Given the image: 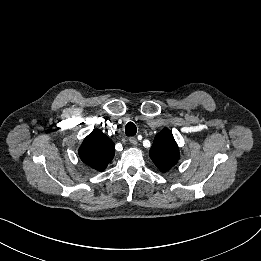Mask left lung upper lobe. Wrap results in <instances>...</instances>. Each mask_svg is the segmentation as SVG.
Here are the masks:
<instances>
[{
	"label": "left lung upper lobe",
	"instance_id": "1",
	"mask_svg": "<svg viewBox=\"0 0 261 261\" xmlns=\"http://www.w3.org/2000/svg\"><path fill=\"white\" fill-rule=\"evenodd\" d=\"M149 156L161 172H167L178 162L179 148L168 128L155 136Z\"/></svg>",
	"mask_w": 261,
	"mask_h": 261
}]
</instances>
